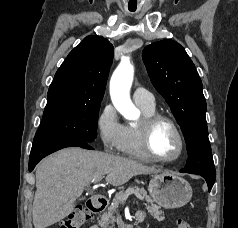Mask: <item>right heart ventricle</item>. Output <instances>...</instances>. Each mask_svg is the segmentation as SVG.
<instances>
[{"label": "right heart ventricle", "instance_id": "1", "mask_svg": "<svg viewBox=\"0 0 238 228\" xmlns=\"http://www.w3.org/2000/svg\"><path fill=\"white\" fill-rule=\"evenodd\" d=\"M142 111L143 116L152 115L156 112L155 106L145 107L138 105ZM120 151L130 157L140 160H151L144 152L140 139V132L138 125L124 126L123 139L120 146Z\"/></svg>", "mask_w": 238, "mask_h": 228}]
</instances>
